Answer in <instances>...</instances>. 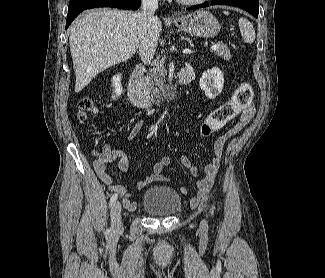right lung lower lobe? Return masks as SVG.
Instances as JSON below:
<instances>
[{
	"mask_svg": "<svg viewBox=\"0 0 325 278\" xmlns=\"http://www.w3.org/2000/svg\"><path fill=\"white\" fill-rule=\"evenodd\" d=\"M141 0H70L66 29L84 10L96 7H115L121 9H138Z\"/></svg>",
	"mask_w": 325,
	"mask_h": 278,
	"instance_id": "1",
	"label": "right lung lower lobe"
}]
</instances>
